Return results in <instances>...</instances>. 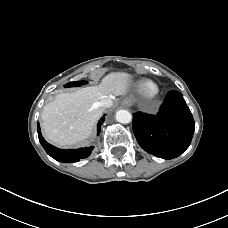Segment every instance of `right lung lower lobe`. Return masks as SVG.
I'll use <instances>...</instances> for the list:
<instances>
[{"instance_id": "right-lung-lower-lobe-1", "label": "right lung lower lobe", "mask_w": 228, "mask_h": 228, "mask_svg": "<svg viewBox=\"0 0 228 228\" xmlns=\"http://www.w3.org/2000/svg\"><path fill=\"white\" fill-rule=\"evenodd\" d=\"M104 122V117L101 118V120L98 123V134L100 133V127L101 123ZM38 136H39V141L47 154H49L52 158L59 162H64V163H73V162H78L80 159L87 158L92 150L93 146L90 147H84V148H78L74 150H62L58 149L49 143L45 141V139L41 135L40 131V126L38 123Z\"/></svg>"}]
</instances>
